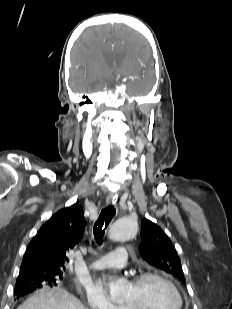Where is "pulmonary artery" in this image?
I'll return each instance as SVG.
<instances>
[{
    "instance_id": "obj_1",
    "label": "pulmonary artery",
    "mask_w": 232,
    "mask_h": 309,
    "mask_svg": "<svg viewBox=\"0 0 232 309\" xmlns=\"http://www.w3.org/2000/svg\"><path fill=\"white\" fill-rule=\"evenodd\" d=\"M128 251L125 248H118L113 253L107 254L100 259L91 261L89 267L94 270L120 268L126 264Z\"/></svg>"
}]
</instances>
